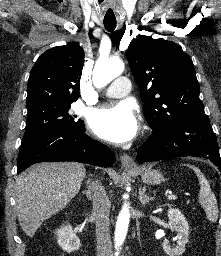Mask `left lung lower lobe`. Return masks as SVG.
I'll return each mask as SVG.
<instances>
[{
	"label": "left lung lower lobe",
	"instance_id": "1",
	"mask_svg": "<svg viewBox=\"0 0 221 256\" xmlns=\"http://www.w3.org/2000/svg\"><path fill=\"white\" fill-rule=\"evenodd\" d=\"M185 156L210 159L221 171L217 140L209 118L204 121L181 122L170 128L152 131L141 145L137 161H159Z\"/></svg>",
	"mask_w": 221,
	"mask_h": 256
}]
</instances>
